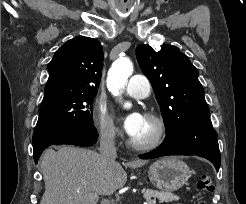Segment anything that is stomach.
Instances as JSON below:
<instances>
[{
    "label": "stomach",
    "instance_id": "stomach-1",
    "mask_svg": "<svg viewBox=\"0 0 246 204\" xmlns=\"http://www.w3.org/2000/svg\"><path fill=\"white\" fill-rule=\"evenodd\" d=\"M148 176L156 188L172 192L180 189L187 182L190 170L184 161L175 157H165L149 167Z\"/></svg>",
    "mask_w": 246,
    "mask_h": 204
}]
</instances>
